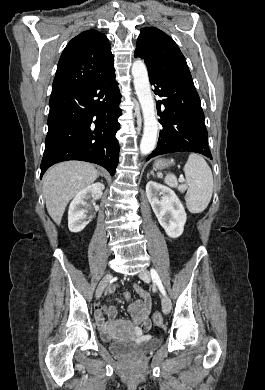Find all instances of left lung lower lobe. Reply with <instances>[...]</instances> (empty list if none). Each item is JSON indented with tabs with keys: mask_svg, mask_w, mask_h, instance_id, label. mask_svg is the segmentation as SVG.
<instances>
[{
	"mask_svg": "<svg viewBox=\"0 0 265 390\" xmlns=\"http://www.w3.org/2000/svg\"><path fill=\"white\" fill-rule=\"evenodd\" d=\"M149 79L155 86V94L164 99L157 102L162 125L158 145L147 160L162 154L185 151L212 159L204 113L192 78L149 75ZM161 104L165 107L163 112Z\"/></svg>",
	"mask_w": 265,
	"mask_h": 390,
	"instance_id": "obj_1",
	"label": "left lung lower lobe"
}]
</instances>
